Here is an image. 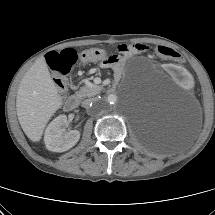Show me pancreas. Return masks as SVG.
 I'll return each mask as SVG.
<instances>
[{"mask_svg":"<svg viewBox=\"0 0 215 215\" xmlns=\"http://www.w3.org/2000/svg\"><path fill=\"white\" fill-rule=\"evenodd\" d=\"M103 89L101 85H95L91 82H87L85 86H82L79 91L76 92V96L79 98L92 97L100 93Z\"/></svg>","mask_w":215,"mask_h":215,"instance_id":"obj_1","label":"pancreas"}]
</instances>
